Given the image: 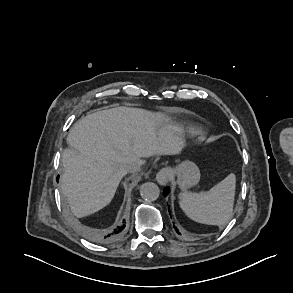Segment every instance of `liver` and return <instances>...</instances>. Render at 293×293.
Returning <instances> with one entry per match:
<instances>
[{"instance_id":"6515ba94","label":"liver","mask_w":293,"mask_h":293,"mask_svg":"<svg viewBox=\"0 0 293 293\" xmlns=\"http://www.w3.org/2000/svg\"><path fill=\"white\" fill-rule=\"evenodd\" d=\"M168 120L161 113L117 107L74 124L67 137L71 149L62 154L61 188L76 217L107 206L131 163L180 150L177 140L158 131Z\"/></svg>"}]
</instances>
